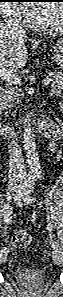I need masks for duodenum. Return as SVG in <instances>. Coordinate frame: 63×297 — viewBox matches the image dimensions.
<instances>
[{"mask_svg": "<svg viewBox=\"0 0 63 297\" xmlns=\"http://www.w3.org/2000/svg\"><path fill=\"white\" fill-rule=\"evenodd\" d=\"M3 128H4V129H3L4 131H9V129H8V125H7L6 123L3 124ZM6 133H7V132H6Z\"/></svg>", "mask_w": 63, "mask_h": 297, "instance_id": "410a0bca", "label": "duodenum"}]
</instances>
